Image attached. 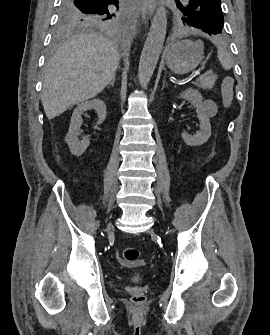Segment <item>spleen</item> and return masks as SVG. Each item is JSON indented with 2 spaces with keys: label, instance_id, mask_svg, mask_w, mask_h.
<instances>
[{
  "label": "spleen",
  "instance_id": "3e777b00",
  "mask_svg": "<svg viewBox=\"0 0 270 335\" xmlns=\"http://www.w3.org/2000/svg\"><path fill=\"white\" fill-rule=\"evenodd\" d=\"M214 46H217V58L224 70H231L232 68V60L229 52L225 50L224 46L218 42L217 38L212 40Z\"/></svg>",
  "mask_w": 270,
  "mask_h": 335
}]
</instances>
